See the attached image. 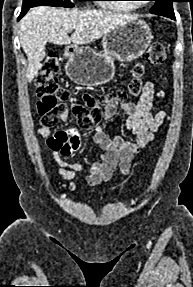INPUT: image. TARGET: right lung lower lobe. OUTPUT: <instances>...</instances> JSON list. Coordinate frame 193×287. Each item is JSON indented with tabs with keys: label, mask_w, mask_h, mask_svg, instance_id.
I'll use <instances>...</instances> for the list:
<instances>
[{
	"label": "right lung lower lobe",
	"mask_w": 193,
	"mask_h": 287,
	"mask_svg": "<svg viewBox=\"0 0 193 287\" xmlns=\"http://www.w3.org/2000/svg\"><path fill=\"white\" fill-rule=\"evenodd\" d=\"M28 10H29L28 8H22V11H21V14H20L18 20H20V19L26 14V12H27Z\"/></svg>",
	"instance_id": "right-lung-lower-lobe-1"
}]
</instances>
